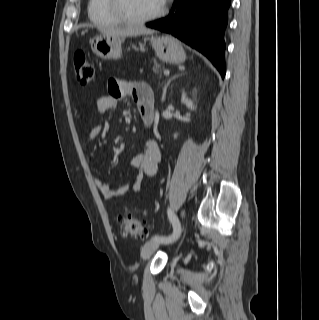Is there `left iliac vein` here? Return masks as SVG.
Instances as JSON below:
<instances>
[{"label":"left iliac vein","mask_w":319,"mask_h":320,"mask_svg":"<svg viewBox=\"0 0 319 320\" xmlns=\"http://www.w3.org/2000/svg\"><path fill=\"white\" fill-rule=\"evenodd\" d=\"M185 212L182 210L181 211V216L184 217ZM160 242L155 241V240H150L147 241L141 250V256L143 259H148L160 246Z\"/></svg>","instance_id":"obj_1"}]
</instances>
